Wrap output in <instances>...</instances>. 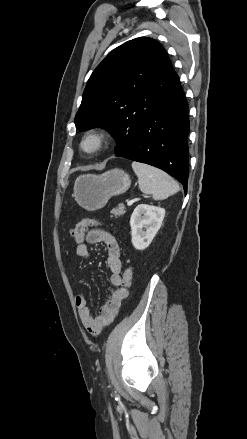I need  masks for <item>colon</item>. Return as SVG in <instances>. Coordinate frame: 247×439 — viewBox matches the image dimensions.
<instances>
[{
	"label": "colon",
	"mask_w": 247,
	"mask_h": 439,
	"mask_svg": "<svg viewBox=\"0 0 247 439\" xmlns=\"http://www.w3.org/2000/svg\"><path fill=\"white\" fill-rule=\"evenodd\" d=\"M99 224L100 223L97 220H93V219H84V220H81L80 222H78L76 224V226L74 227V229L72 230V235H73L76 243L78 245L83 243L85 234L89 231V229L92 226H96ZM133 278H134L133 269L131 267H128L125 270L123 278H122V286L124 288H129L130 285L132 284Z\"/></svg>",
	"instance_id": "1"
}]
</instances>
